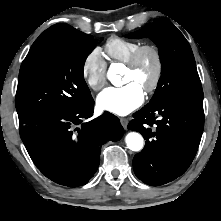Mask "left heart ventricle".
Returning a JSON list of instances; mask_svg holds the SVG:
<instances>
[{
	"instance_id": "1",
	"label": "left heart ventricle",
	"mask_w": 221,
	"mask_h": 221,
	"mask_svg": "<svg viewBox=\"0 0 221 221\" xmlns=\"http://www.w3.org/2000/svg\"><path fill=\"white\" fill-rule=\"evenodd\" d=\"M153 72L154 61L152 56L147 54L136 71L126 69L124 83L136 82L144 89L145 85L150 82Z\"/></svg>"
}]
</instances>
